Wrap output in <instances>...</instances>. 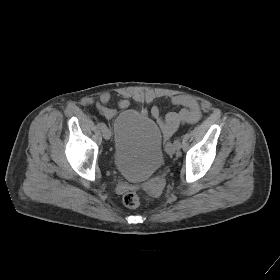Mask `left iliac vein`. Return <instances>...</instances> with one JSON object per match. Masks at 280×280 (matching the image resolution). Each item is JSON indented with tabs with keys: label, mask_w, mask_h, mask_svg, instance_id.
Wrapping results in <instances>:
<instances>
[{
	"label": "left iliac vein",
	"mask_w": 280,
	"mask_h": 280,
	"mask_svg": "<svg viewBox=\"0 0 280 280\" xmlns=\"http://www.w3.org/2000/svg\"><path fill=\"white\" fill-rule=\"evenodd\" d=\"M177 150V147L175 146V144H172V143H168L166 145V152L167 154L169 155H173Z\"/></svg>",
	"instance_id": "obj_1"
}]
</instances>
